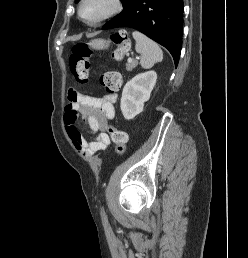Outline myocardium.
Returning <instances> with one entry per match:
<instances>
[{
  "mask_svg": "<svg viewBox=\"0 0 248 258\" xmlns=\"http://www.w3.org/2000/svg\"><path fill=\"white\" fill-rule=\"evenodd\" d=\"M87 2V0H81L79 3V7H78V14L80 16V18L88 25L90 26H97L100 25L112 18H114L116 15H118L120 13V11L122 10V0H112V5L111 8L104 13L103 15H101L100 17H98L97 19L94 20H88L84 14H83V9H84V5Z\"/></svg>",
  "mask_w": 248,
  "mask_h": 258,
  "instance_id": "f54148a6",
  "label": "myocardium"
}]
</instances>
